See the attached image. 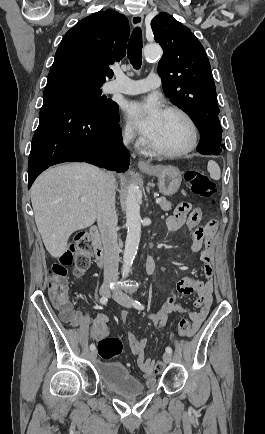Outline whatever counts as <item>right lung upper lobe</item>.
Instances as JSON below:
<instances>
[{
  "mask_svg": "<svg viewBox=\"0 0 265 434\" xmlns=\"http://www.w3.org/2000/svg\"><path fill=\"white\" fill-rule=\"evenodd\" d=\"M128 24L124 15L111 9L82 19L62 38L48 76L73 74L102 82L112 78L110 66L126 54Z\"/></svg>",
  "mask_w": 265,
  "mask_h": 434,
  "instance_id": "cb5924a9",
  "label": "right lung upper lobe"
}]
</instances>
